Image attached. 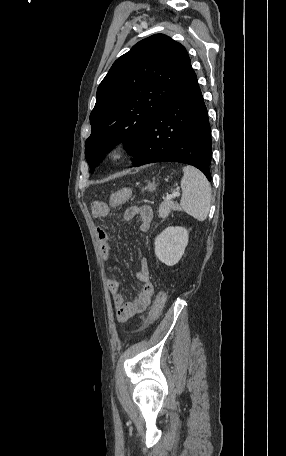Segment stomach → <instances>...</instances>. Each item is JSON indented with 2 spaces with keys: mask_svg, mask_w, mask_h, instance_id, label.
Here are the masks:
<instances>
[{
  "mask_svg": "<svg viewBox=\"0 0 286 456\" xmlns=\"http://www.w3.org/2000/svg\"><path fill=\"white\" fill-rule=\"evenodd\" d=\"M156 189V184L155 183H149L145 188H143V191L144 190H148V191H154Z\"/></svg>",
  "mask_w": 286,
  "mask_h": 456,
  "instance_id": "0dacf381",
  "label": "stomach"
}]
</instances>
